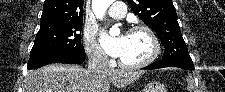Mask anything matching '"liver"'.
Wrapping results in <instances>:
<instances>
[{
  "label": "liver",
  "mask_w": 225,
  "mask_h": 92,
  "mask_svg": "<svg viewBox=\"0 0 225 92\" xmlns=\"http://www.w3.org/2000/svg\"><path fill=\"white\" fill-rule=\"evenodd\" d=\"M144 74L142 70L121 69L92 73L79 65L51 64L29 71L24 92H109L110 83L126 87Z\"/></svg>",
  "instance_id": "1"
}]
</instances>
